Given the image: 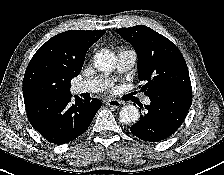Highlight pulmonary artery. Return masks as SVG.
I'll return each instance as SVG.
<instances>
[{"label":"pulmonary artery","instance_id":"e3ab8cb5","mask_svg":"<svg viewBox=\"0 0 224 175\" xmlns=\"http://www.w3.org/2000/svg\"><path fill=\"white\" fill-rule=\"evenodd\" d=\"M118 72L125 73L129 71L136 63V54L133 50L130 49H122L118 52ZM110 84V80L97 78L93 80L83 81L77 83L73 87V91L76 94L86 93V92H99L107 88ZM146 105L150 104V100L146 99L144 101Z\"/></svg>","mask_w":224,"mask_h":175}]
</instances>
